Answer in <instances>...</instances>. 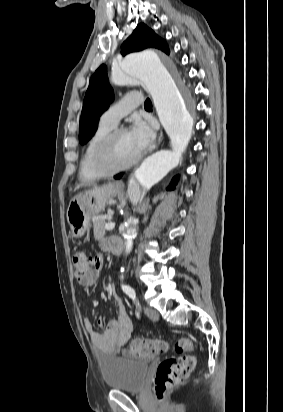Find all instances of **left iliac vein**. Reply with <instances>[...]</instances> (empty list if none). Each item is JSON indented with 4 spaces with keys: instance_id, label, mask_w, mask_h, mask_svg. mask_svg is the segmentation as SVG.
Listing matches in <instances>:
<instances>
[{
    "instance_id": "1",
    "label": "left iliac vein",
    "mask_w": 283,
    "mask_h": 412,
    "mask_svg": "<svg viewBox=\"0 0 283 412\" xmlns=\"http://www.w3.org/2000/svg\"><path fill=\"white\" fill-rule=\"evenodd\" d=\"M143 310L149 319H151L152 321H158L159 314L155 309L150 308V307H144Z\"/></svg>"
}]
</instances>
